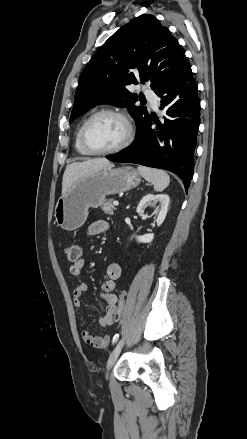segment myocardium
Here are the masks:
<instances>
[{
    "instance_id": "1",
    "label": "myocardium",
    "mask_w": 247,
    "mask_h": 439,
    "mask_svg": "<svg viewBox=\"0 0 247 439\" xmlns=\"http://www.w3.org/2000/svg\"><path fill=\"white\" fill-rule=\"evenodd\" d=\"M104 115H111V116H115L120 118L126 127V137L125 139L116 147L111 148V149H107V150H94L92 149L86 139V132L88 129V126L91 124V122L93 120H95L96 118L100 117V116H104ZM134 127L132 124V121L130 119V117L121 110H117V109H103L100 111H97L95 113H93L81 126V130H80V143L82 148L85 150V152L89 155H110V154H114L117 152H120L122 150H124L125 148H127L134 140Z\"/></svg>"
}]
</instances>
